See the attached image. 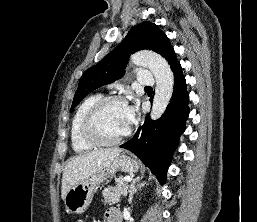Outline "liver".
<instances>
[{
  "instance_id": "obj_1",
  "label": "liver",
  "mask_w": 257,
  "mask_h": 222,
  "mask_svg": "<svg viewBox=\"0 0 257 222\" xmlns=\"http://www.w3.org/2000/svg\"><path fill=\"white\" fill-rule=\"evenodd\" d=\"M121 151L119 148L101 149L70 159L63 171L62 199H65L66 193L72 186L106 168Z\"/></svg>"
}]
</instances>
